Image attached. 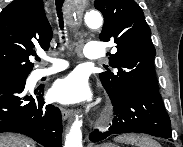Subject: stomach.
<instances>
[{
    "label": "stomach",
    "mask_w": 183,
    "mask_h": 147,
    "mask_svg": "<svg viewBox=\"0 0 183 147\" xmlns=\"http://www.w3.org/2000/svg\"><path fill=\"white\" fill-rule=\"evenodd\" d=\"M99 147H117V146L112 143H104V144L100 145Z\"/></svg>",
    "instance_id": "0dacf381"
}]
</instances>
